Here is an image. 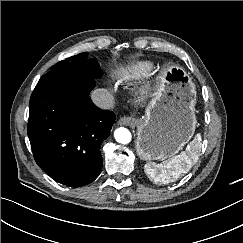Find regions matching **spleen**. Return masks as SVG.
Instances as JSON below:
<instances>
[{
  "instance_id": "spleen-1",
  "label": "spleen",
  "mask_w": 243,
  "mask_h": 243,
  "mask_svg": "<svg viewBox=\"0 0 243 243\" xmlns=\"http://www.w3.org/2000/svg\"><path fill=\"white\" fill-rule=\"evenodd\" d=\"M201 148V135L197 134L186 150L160 164L146 163L144 170L146 175L155 183L167 184L179 179L187 173L198 160Z\"/></svg>"
}]
</instances>
